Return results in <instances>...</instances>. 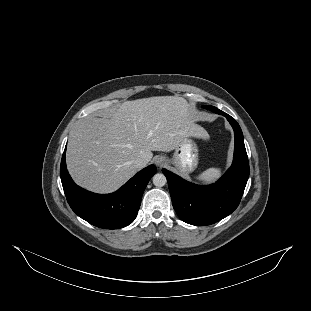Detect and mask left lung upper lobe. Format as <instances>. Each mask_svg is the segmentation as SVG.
Masks as SVG:
<instances>
[{"label": "left lung upper lobe", "mask_w": 311, "mask_h": 311, "mask_svg": "<svg viewBox=\"0 0 311 311\" xmlns=\"http://www.w3.org/2000/svg\"><path fill=\"white\" fill-rule=\"evenodd\" d=\"M204 108L208 109V110H211L217 114H220L221 113V110L217 109L216 107L214 106H204Z\"/></svg>", "instance_id": "left-lung-upper-lobe-1"}]
</instances>
